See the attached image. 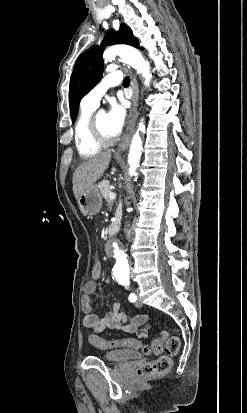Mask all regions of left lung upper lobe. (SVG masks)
Segmentation results:
<instances>
[{"instance_id":"1","label":"left lung upper lobe","mask_w":247,"mask_h":413,"mask_svg":"<svg viewBox=\"0 0 247 413\" xmlns=\"http://www.w3.org/2000/svg\"><path fill=\"white\" fill-rule=\"evenodd\" d=\"M128 44L139 48V42L131 29L121 24L118 32L109 30L101 45L89 49L77 60L70 78L69 105L72 121H75L80 100L101 79L103 73L102 53L107 45Z\"/></svg>"}]
</instances>
